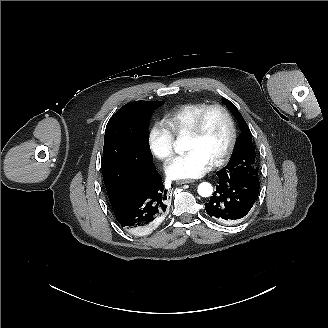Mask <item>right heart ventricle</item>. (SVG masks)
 I'll return each mask as SVG.
<instances>
[{
  "instance_id": "obj_1",
  "label": "right heart ventricle",
  "mask_w": 328,
  "mask_h": 328,
  "mask_svg": "<svg viewBox=\"0 0 328 328\" xmlns=\"http://www.w3.org/2000/svg\"><path fill=\"white\" fill-rule=\"evenodd\" d=\"M208 103L194 102L180 106L179 108L166 113L162 122L173 136L186 134L195 122L197 116L207 107Z\"/></svg>"
}]
</instances>
